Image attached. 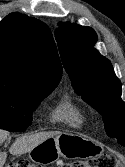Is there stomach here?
<instances>
[{"instance_id": "obj_1", "label": "stomach", "mask_w": 125, "mask_h": 167, "mask_svg": "<svg viewBox=\"0 0 125 167\" xmlns=\"http://www.w3.org/2000/svg\"><path fill=\"white\" fill-rule=\"evenodd\" d=\"M103 148L90 138L75 133H61L46 139L31 151L29 158L35 163H54L59 158H91L102 153Z\"/></svg>"}]
</instances>
